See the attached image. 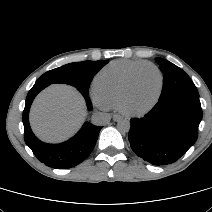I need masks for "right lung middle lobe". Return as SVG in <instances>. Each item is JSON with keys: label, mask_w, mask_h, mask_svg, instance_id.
I'll return each mask as SVG.
<instances>
[{"label": "right lung middle lobe", "mask_w": 212, "mask_h": 212, "mask_svg": "<svg viewBox=\"0 0 212 212\" xmlns=\"http://www.w3.org/2000/svg\"><path fill=\"white\" fill-rule=\"evenodd\" d=\"M107 62L108 60L69 63L44 73L36 83L46 85L65 83L76 87L82 93L88 94L93 75Z\"/></svg>", "instance_id": "1"}]
</instances>
